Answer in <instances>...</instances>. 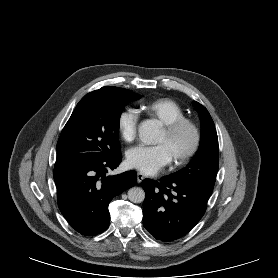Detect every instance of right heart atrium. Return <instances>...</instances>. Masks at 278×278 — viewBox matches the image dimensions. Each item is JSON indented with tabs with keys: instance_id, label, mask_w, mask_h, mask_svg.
Segmentation results:
<instances>
[{
	"instance_id": "d8ad5b80",
	"label": "right heart atrium",
	"mask_w": 278,
	"mask_h": 278,
	"mask_svg": "<svg viewBox=\"0 0 278 278\" xmlns=\"http://www.w3.org/2000/svg\"><path fill=\"white\" fill-rule=\"evenodd\" d=\"M138 121L139 115L136 110L127 108L120 112L117 120V128L124 141L131 142L135 138Z\"/></svg>"
}]
</instances>
